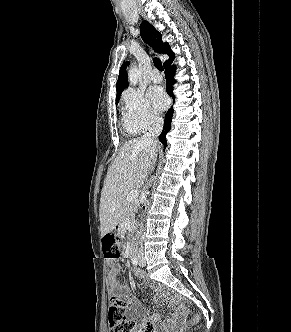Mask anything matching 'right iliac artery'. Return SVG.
I'll use <instances>...</instances> for the list:
<instances>
[{
  "label": "right iliac artery",
  "mask_w": 291,
  "mask_h": 332,
  "mask_svg": "<svg viewBox=\"0 0 291 332\" xmlns=\"http://www.w3.org/2000/svg\"><path fill=\"white\" fill-rule=\"evenodd\" d=\"M131 260H132V263H133L134 266L138 265V258L137 257H133Z\"/></svg>",
  "instance_id": "1"
}]
</instances>
